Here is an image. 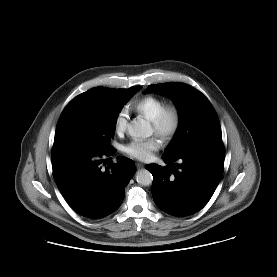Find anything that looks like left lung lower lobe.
Listing matches in <instances>:
<instances>
[{"label": "left lung lower lobe", "mask_w": 277, "mask_h": 277, "mask_svg": "<svg viewBox=\"0 0 277 277\" xmlns=\"http://www.w3.org/2000/svg\"><path fill=\"white\" fill-rule=\"evenodd\" d=\"M224 156L222 141H209L177 160L164 158L172 167L146 165V169L153 175L152 196L156 205L176 217L188 216L201 210L222 177ZM175 161L180 164L177 165Z\"/></svg>", "instance_id": "1"}]
</instances>
